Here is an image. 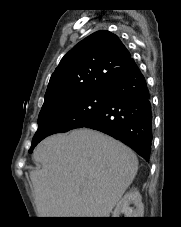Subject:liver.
<instances>
[{"label":"liver","instance_id":"obj_1","mask_svg":"<svg viewBox=\"0 0 181 227\" xmlns=\"http://www.w3.org/2000/svg\"><path fill=\"white\" fill-rule=\"evenodd\" d=\"M30 178L40 217H109L138 171L135 153L87 128L52 135L35 148Z\"/></svg>","mask_w":181,"mask_h":227}]
</instances>
